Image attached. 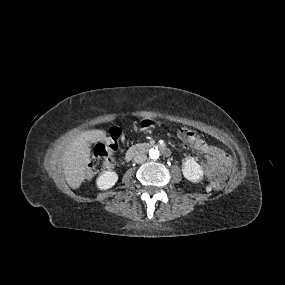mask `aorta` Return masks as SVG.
Masks as SVG:
<instances>
[{
    "label": "aorta",
    "mask_w": 285,
    "mask_h": 285,
    "mask_svg": "<svg viewBox=\"0 0 285 285\" xmlns=\"http://www.w3.org/2000/svg\"><path fill=\"white\" fill-rule=\"evenodd\" d=\"M160 156V151L157 148H152L149 150V157L151 159H158Z\"/></svg>",
    "instance_id": "1"
}]
</instances>
